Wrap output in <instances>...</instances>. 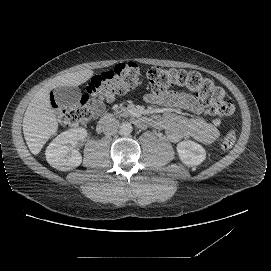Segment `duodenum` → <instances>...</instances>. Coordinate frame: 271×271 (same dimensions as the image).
Segmentation results:
<instances>
[{
    "label": "duodenum",
    "mask_w": 271,
    "mask_h": 271,
    "mask_svg": "<svg viewBox=\"0 0 271 271\" xmlns=\"http://www.w3.org/2000/svg\"><path fill=\"white\" fill-rule=\"evenodd\" d=\"M135 123L139 126H145L147 121L144 118H135ZM117 122L111 115L103 116L97 124V131L103 134H111L116 130Z\"/></svg>",
    "instance_id": "duodenum-1"
}]
</instances>
